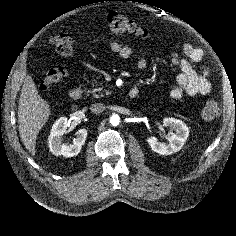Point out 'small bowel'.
Instances as JSON below:
<instances>
[{"label":"small bowel","instance_id":"small-bowel-1","mask_svg":"<svg viewBox=\"0 0 236 236\" xmlns=\"http://www.w3.org/2000/svg\"><path fill=\"white\" fill-rule=\"evenodd\" d=\"M110 50L123 59H129L133 53L129 46L116 41L110 43ZM182 52L185 56L183 58L177 53H173L171 56L172 63L180 69L176 77L177 86L170 91L171 99L179 100L184 94L189 96L208 94L211 90V84L207 79L208 71L204 70L202 74H199L193 66V63L202 60V49L186 43L182 47ZM134 64L137 68L142 69L146 67L147 62L144 58H140L135 60Z\"/></svg>","mask_w":236,"mask_h":236}]
</instances>
